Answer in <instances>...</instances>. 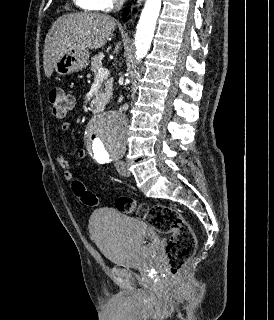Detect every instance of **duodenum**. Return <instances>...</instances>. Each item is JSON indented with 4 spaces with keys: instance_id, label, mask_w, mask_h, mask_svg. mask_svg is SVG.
Segmentation results:
<instances>
[{
    "instance_id": "410a0bca",
    "label": "duodenum",
    "mask_w": 274,
    "mask_h": 320,
    "mask_svg": "<svg viewBox=\"0 0 274 320\" xmlns=\"http://www.w3.org/2000/svg\"><path fill=\"white\" fill-rule=\"evenodd\" d=\"M91 107L93 110L98 111V112H102L104 109V104L101 101V99L99 98H95L92 100L91 102Z\"/></svg>"
}]
</instances>
